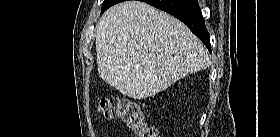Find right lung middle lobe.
<instances>
[{
	"mask_svg": "<svg viewBox=\"0 0 280 137\" xmlns=\"http://www.w3.org/2000/svg\"><path fill=\"white\" fill-rule=\"evenodd\" d=\"M123 0H104L103 6H102V12L108 9L109 7L113 6L114 4H117L119 2H122Z\"/></svg>",
	"mask_w": 280,
	"mask_h": 137,
	"instance_id": "1",
	"label": "right lung middle lobe"
}]
</instances>
